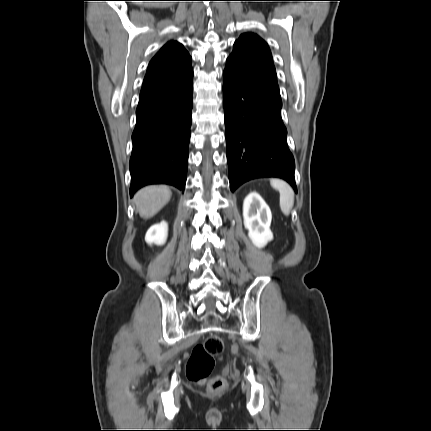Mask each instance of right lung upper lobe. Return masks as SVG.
Returning <instances> with one entry per match:
<instances>
[{
    "label": "right lung upper lobe",
    "mask_w": 431,
    "mask_h": 431,
    "mask_svg": "<svg viewBox=\"0 0 431 431\" xmlns=\"http://www.w3.org/2000/svg\"><path fill=\"white\" fill-rule=\"evenodd\" d=\"M193 75L191 57L183 45L170 41L150 61L139 103L160 97Z\"/></svg>",
    "instance_id": "obj_1"
}]
</instances>
